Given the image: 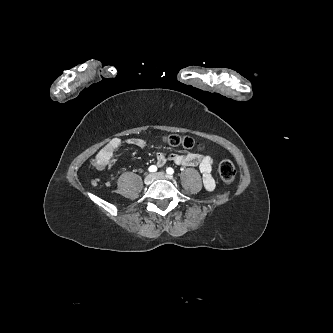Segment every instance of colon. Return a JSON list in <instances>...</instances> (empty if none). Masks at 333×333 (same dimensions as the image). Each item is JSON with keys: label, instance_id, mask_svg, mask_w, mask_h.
<instances>
[{"label": "colon", "instance_id": "colon-1", "mask_svg": "<svg viewBox=\"0 0 333 333\" xmlns=\"http://www.w3.org/2000/svg\"><path fill=\"white\" fill-rule=\"evenodd\" d=\"M164 140L166 143H168L169 145L174 146V147L181 146L185 149H194V148L201 149L202 148V145L190 136H181L178 134H171V135L166 136L164 138ZM93 164L98 168H101L102 166H104V164H102L100 162H96L95 160H94ZM219 174L224 183H226V184L232 183L236 176V169H235L234 164L230 160H227V159L222 160L219 163Z\"/></svg>", "mask_w": 333, "mask_h": 333}]
</instances>
